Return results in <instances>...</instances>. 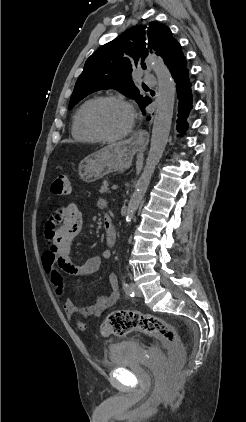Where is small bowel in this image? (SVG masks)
<instances>
[{"label":"small bowel","instance_id":"small-bowel-1","mask_svg":"<svg viewBox=\"0 0 246 422\" xmlns=\"http://www.w3.org/2000/svg\"><path fill=\"white\" fill-rule=\"evenodd\" d=\"M83 228V214L75 204H68L55 209L49 216L45 225V236L49 240V247L43 257L46 273L52 280V273L56 265L61 271L74 275H90L96 272L103 260H109L111 253L104 251L100 256H94L86 261L83 266H76L71 257L72 240L81 233ZM108 282L111 292L100 294L95 302L81 310L67 299L64 309L69 316L80 312L84 316L100 317L106 310L114 306L120 299L118 278L110 274Z\"/></svg>","mask_w":246,"mask_h":422}]
</instances>
